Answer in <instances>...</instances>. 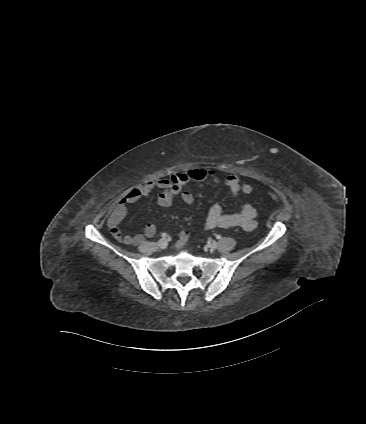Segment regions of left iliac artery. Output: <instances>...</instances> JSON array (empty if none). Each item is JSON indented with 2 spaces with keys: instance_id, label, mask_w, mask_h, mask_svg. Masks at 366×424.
Here are the masks:
<instances>
[{
  "instance_id": "obj_1",
  "label": "left iliac artery",
  "mask_w": 366,
  "mask_h": 424,
  "mask_svg": "<svg viewBox=\"0 0 366 424\" xmlns=\"http://www.w3.org/2000/svg\"><path fill=\"white\" fill-rule=\"evenodd\" d=\"M216 238H217L218 240H220V239L222 238V236H221V235H217V236H216Z\"/></svg>"
}]
</instances>
